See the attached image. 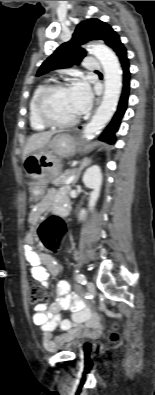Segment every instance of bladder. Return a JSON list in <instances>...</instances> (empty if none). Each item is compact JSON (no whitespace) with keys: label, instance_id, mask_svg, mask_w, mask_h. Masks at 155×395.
I'll use <instances>...</instances> for the list:
<instances>
[{"label":"bladder","instance_id":"1","mask_svg":"<svg viewBox=\"0 0 155 395\" xmlns=\"http://www.w3.org/2000/svg\"><path fill=\"white\" fill-rule=\"evenodd\" d=\"M95 348V343L91 339H79L67 342L62 346V350L75 353H89Z\"/></svg>","mask_w":155,"mask_h":395}]
</instances>
